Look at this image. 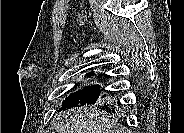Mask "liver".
Instances as JSON below:
<instances>
[{"instance_id": "obj_1", "label": "liver", "mask_w": 184, "mask_h": 133, "mask_svg": "<svg viewBox=\"0 0 184 133\" xmlns=\"http://www.w3.org/2000/svg\"><path fill=\"white\" fill-rule=\"evenodd\" d=\"M57 133H120L112 128L107 116L91 107L73 108L57 115L54 121Z\"/></svg>"}]
</instances>
